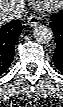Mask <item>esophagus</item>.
I'll return each mask as SVG.
<instances>
[{"label": "esophagus", "mask_w": 63, "mask_h": 107, "mask_svg": "<svg viewBox=\"0 0 63 107\" xmlns=\"http://www.w3.org/2000/svg\"><path fill=\"white\" fill-rule=\"evenodd\" d=\"M40 22V17H38L37 15H31L28 17L26 24L29 26H35L38 25Z\"/></svg>", "instance_id": "34e87169"}]
</instances>
